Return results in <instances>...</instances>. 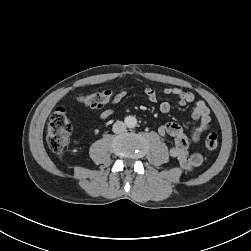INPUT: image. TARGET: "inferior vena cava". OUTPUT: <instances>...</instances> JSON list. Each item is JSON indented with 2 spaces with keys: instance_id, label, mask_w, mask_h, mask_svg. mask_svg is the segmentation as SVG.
Instances as JSON below:
<instances>
[{
  "instance_id": "inferior-vena-cava-1",
  "label": "inferior vena cava",
  "mask_w": 251,
  "mask_h": 251,
  "mask_svg": "<svg viewBox=\"0 0 251 251\" xmlns=\"http://www.w3.org/2000/svg\"><path fill=\"white\" fill-rule=\"evenodd\" d=\"M112 130L116 134L123 133L126 131V125L122 121H117L114 123Z\"/></svg>"
}]
</instances>
